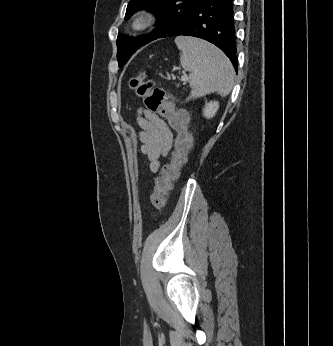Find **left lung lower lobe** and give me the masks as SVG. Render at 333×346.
Masks as SVG:
<instances>
[{"label": "left lung lower lobe", "instance_id": "1", "mask_svg": "<svg viewBox=\"0 0 333 346\" xmlns=\"http://www.w3.org/2000/svg\"><path fill=\"white\" fill-rule=\"evenodd\" d=\"M235 33L233 0H201L160 38L186 35L209 41L226 54L237 72Z\"/></svg>", "mask_w": 333, "mask_h": 346}]
</instances>
